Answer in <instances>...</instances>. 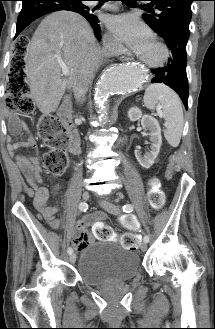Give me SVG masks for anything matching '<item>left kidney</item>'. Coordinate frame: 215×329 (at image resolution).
Here are the masks:
<instances>
[{
	"label": "left kidney",
	"instance_id": "left-kidney-1",
	"mask_svg": "<svg viewBox=\"0 0 215 329\" xmlns=\"http://www.w3.org/2000/svg\"><path fill=\"white\" fill-rule=\"evenodd\" d=\"M128 118L132 122L141 120L143 129L149 130V140L151 142L150 152L142 155L140 151L135 150V157L139 164L143 168L149 169L158 156L162 144L161 128L159 123L154 117L147 114L143 115L141 110L137 107L129 109Z\"/></svg>",
	"mask_w": 215,
	"mask_h": 329
}]
</instances>
